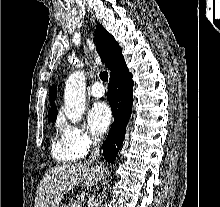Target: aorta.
<instances>
[{"mask_svg":"<svg viewBox=\"0 0 220 207\" xmlns=\"http://www.w3.org/2000/svg\"><path fill=\"white\" fill-rule=\"evenodd\" d=\"M85 75L83 71L72 73L65 84V115L72 122L81 120L85 112Z\"/></svg>","mask_w":220,"mask_h":207,"instance_id":"762f6f07","label":"aorta"}]
</instances>
